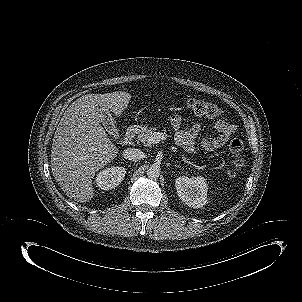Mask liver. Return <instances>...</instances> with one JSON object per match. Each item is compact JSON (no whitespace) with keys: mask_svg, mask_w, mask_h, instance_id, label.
Returning <instances> with one entry per match:
<instances>
[{"mask_svg":"<svg viewBox=\"0 0 302 302\" xmlns=\"http://www.w3.org/2000/svg\"><path fill=\"white\" fill-rule=\"evenodd\" d=\"M130 99L124 91L86 94L63 114L54 134L50 162L53 177L69 198L77 202L93 198L92 179L118 153L101 125V111L120 115Z\"/></svg>","mask_w":302,"mask_h":302,"instance_id":"liver-1","label":"liver"}]
</instances>
